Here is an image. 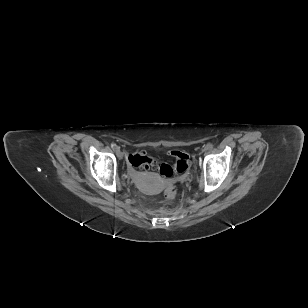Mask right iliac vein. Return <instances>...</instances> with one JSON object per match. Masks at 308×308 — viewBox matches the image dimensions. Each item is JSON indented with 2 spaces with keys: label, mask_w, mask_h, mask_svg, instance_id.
<instances>
[{
  "label": "right iliac vein",
  "mask_w": 308,
  "mask_h": 308,
  "mask_svg": "<svg viewBox=\"0 0 308 308\" xmlns=\"http://www.w3.org/2000/svg\"><path fill=\"white\" fill-rule=\"evenodd\" d=\"M115 152H116L117 156H118L120 159L123 158V153L120 151L119 147H117V148L115 149Z\"/></svg>",
  "instance_id": "obj_1"
}]
</instances>
